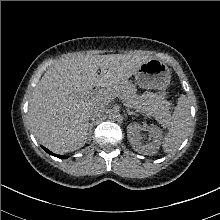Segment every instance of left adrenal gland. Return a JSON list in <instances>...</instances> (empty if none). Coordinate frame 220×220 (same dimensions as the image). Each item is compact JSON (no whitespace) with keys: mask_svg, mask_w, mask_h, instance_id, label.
<instances>
[{"mask_svg":"<svg viewBox=\"0 0 220 220\" xmlns=\"http://www.w3.org/2000/svg\"><path fill=\"white\" fill-rule=\"evenodd\" d=\"M128 114H129V115H136L134 112H131V111H129V110H128Z\"/></svg>","mask_w":220,"mask_h":220,"instance_id":"left-adrenal-gland-1","label":"left adrenal gland"}]
</instances>
